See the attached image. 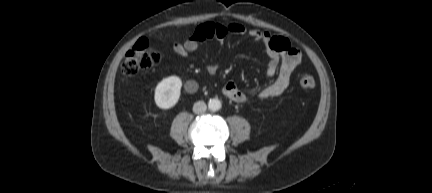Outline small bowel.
<instances>
[{
	"label": "small bowel",
	"instance_id": "c3829d8e",
	"mask_svg": "<svg viewBox=\"0 0 432 193\" xmlns=\"http://www.w3.org/2000/svg\"><path fill=\"white\" fill-rule=\"evenodd\" d=\"M217 29L224 31L222 36H214L218 41H221L227 33H233L240 36H248L257 43L264 46L268 56L266 73L269 77H274L277 72L276 79L269 85L263 87L257 92V97L267 99L281 95L289 86L290 77L294 69L301 62V52L293 47L287 38L275 36L267 31L259 29H247L239 23H230L226 26L206 23L199 26L194 34L183 43H175L173 45L174 52L179 57H187L188 54L194 52L199 47V44L208 39L211 32H216ZM279 69V71H278ZM210 75H214L218 71V64L210 62L206 67ZM198 89V84L189 80L185 83V90L189 93H194ZM223 94L232 101L245 102L247 95L233 81L227 82L223 87Z\"/></svg>",
	"mask_w": 432,
	"mask_h": 193
}]
</instances>
